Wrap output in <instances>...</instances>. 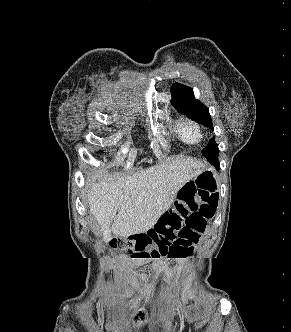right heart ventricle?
Segmentation results:
<instances>
[{
  "label": "right heart ventricle",
  "instance_id": "1",
  "mask_svg": "<svg viewBox=\"0 0 291 332\" xmlns=\"http://www.w3.org/2000/svg\"><path fill=\"white\" fill-rule=\"evenodd\" d=\"M174 131L179 139L188 144H195L201 139V132L197 124L192 121L178 120Z\"/></svg>",
  "mask_w": 291,
  "mask_h": 332
}]
</instances>
